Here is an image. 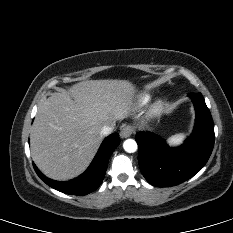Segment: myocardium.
Instances as JSON below:
<instances>
[{
  "instance_id": "f54148a6",
  "label": "myocardium",
  "mask_w": 233,
  "mask_h": 233,
  "mask_svg": "<svg viewBox=\"0 0 233 233\" xmlns=\"http://www.w3.org/2000/svg\"><path fill=\"white\" fill-rule=\"evenodd\" d=\"M164 104L161 101H157L149 109V115L150 116H156L161 113L163 110Z\"/></svg>"
}]
</instances>
